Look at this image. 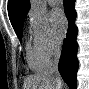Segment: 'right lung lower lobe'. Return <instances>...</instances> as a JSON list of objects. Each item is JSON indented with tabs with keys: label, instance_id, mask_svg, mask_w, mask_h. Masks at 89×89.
<instances>
[{
	"label": "right lung lower lobe",
	"instance_id": "98d812e1",
	"mask_svg": "<svg viewBox=\"0 0 89 89\" xmlns=\"http://www.w3.org/2000/svg\"><path fill=\"white\" fill-rule=\"evenodd\" d=\"M63 2L69 27L62 47V53L59 61V72L69 88L75 89L77 82L76 73L78 70V44L76 42L78 30L74 23L76 19V11L74 9L75 0H63Z\"/></svg>",
	"mask_w": 89,
	"mask_h": 89
}]
</instances>
